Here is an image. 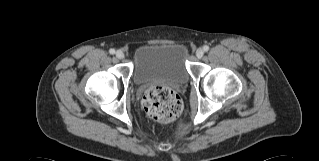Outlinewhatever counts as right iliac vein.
<instances>
[{"label": "right iliac vein", "mask_w": 319, "mask_h": 161, "mask_svg": "<svg viewBox=\"0 0 319 161\" xmlns=\"http://www.w3.org/2000/svg\"><path fill=\"white\" fill-rule=\"evenodd\" d=\"M115 56L118 59H124L125 58V54L121 50H117L116 53H115Z\"/></svg>", "instance_id": "63e3f726"}]
</instances>
